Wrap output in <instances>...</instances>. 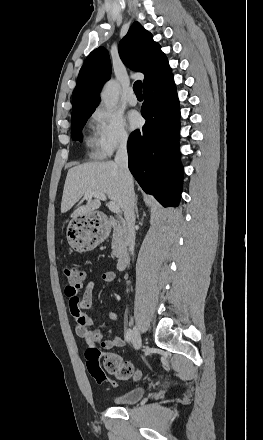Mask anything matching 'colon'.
Wrapping results in <instances>:
<instances>
[{
	"label": "colon",
	"mask_w": 263,
	"mask_h": 440,
	"mask_svg": "<svg viewBox=\"0 0 263 440\" xmlns=\"http://www.w3.org/2000/svg\"><path fill=\"white\" fill-rule=\"evenodd\" d=\"M63 274L71 288H78L85 280L84 270L76 265L67 264L63 267ZM101 353L98 349L90 347L86 351V366L92 378L98 383L109 382L106 372L113 375L118 380H127L130 378H139L140 373L133 364L122 359L117 354H107L103 359V367L100 365ZM106 372H105V371Z\"/></svg>",
	"instance_id": "obj_1"
}]
</instances>
